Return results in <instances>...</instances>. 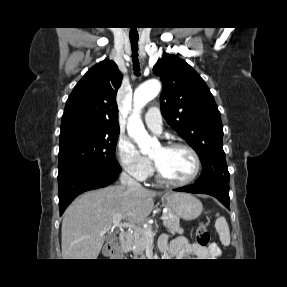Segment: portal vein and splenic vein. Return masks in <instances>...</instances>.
Here are the masks:
<instances>
[{
    "label": "portal vein and splenic vein",
    "mask_w": 287,
    "mask_h": 287,
    "mask_svg": "<svg viewBox=\"0 0 287 287\" xmlns=\"http://www.w3.org/2000/svg\"><path fill=\"white\" fill-rule=\"evenodd\" d=\"M166 218L167 217L164 214L160 217L161 220H165ZM121 220H122V215L121 214L114 216V218H113V227L132 228L135 231L143 229V228H141L139 226H136L135 224H132V223H127V222L123 223V222H121ZM144 233L146 235H148V236H151L153 234V231H152V229L144 230Z\"/></svg>",
    "instance_id": "portal-vein-and-splenic-vein-1"
}]
</instances>
